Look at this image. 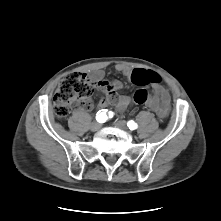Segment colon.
I'll use <instances>...</instances> for the list:
<instances>
[{
	"label": "colon",
	"mask_w": 221,
	"mask_h": 221,
	"mask_svg": "<svg viewBox=\"0 0 221 221\" xmlns=\"http://www.w3.org/2000/svg\"><path fill=\"white\" fill-rule=\"evenodd\" d=\"M132 81L141 86L147 79L150 83L158 84L161 81L159 74L153 71L135 69L131 75ZM92 88L85 76L80 73H71L65 76L54 96V111L59 118L66 117L74 105L81 104L83 108L90 107ZM134 101L137 104H145L148 100V91L145 88L137 89L134 93Z\"/></svg>",
	"instance_id": "obj_1"
}]
</instances>
